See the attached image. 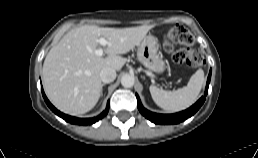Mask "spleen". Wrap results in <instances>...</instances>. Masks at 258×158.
Wrapping results in <instances>:
<instances>
[{"mask_svg": "<svg viewBox=\"0 0 258 158\" xmlns=\"http://www.w3.org/2000/svg\"><path fill=\"white\" fill-rule=\"evenodd\" d=\"M204 83V71L198 69L190 78L187 86L175 91H165L150 86L154 102L169 112H178L191 106L196 100Z\"/></svg>", "mask_w": 258, "mask_h": 158, "instance_id": "1", "label": "spleen"}]
</instances>
